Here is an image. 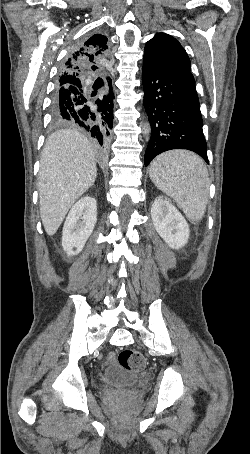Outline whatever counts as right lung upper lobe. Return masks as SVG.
<instances>
[{"mask_svg":"<svg viewBox=\"0 0 250 454\" xmlns=\"http://www.w3.org/2000/svg\"><path fill=\"white\" fill-rule=\"evenodd\" d=\"M108 39L95 34L77 47L63 64L58 77L57 86L60 89L69 86H80L81 79L87 73L99 72L103 67L101 61L108 59Z\"/></svg>","mask_w":250,"mask_h":454,"instance_id":"cb5924a9","label":"right lung upper lobe"}]
</instances>
